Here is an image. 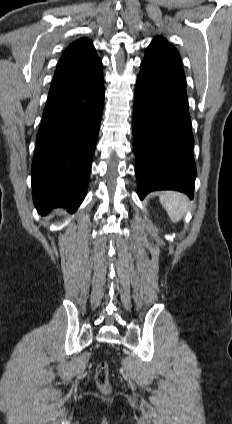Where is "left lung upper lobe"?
Listing matches in <instances>:
<instances>
[{"label":"left lung upper lobe","instance_id":"obj_1","mask_svg":"<svg viewBox=\"0 0 232 424\" xmlns=\"http://www.w3.org/2000/svg\"><path fill=\"white\" fill-rule=\"evenodd\" d=\"M142 62L149 64H181L180 54L165 38L155 37L148 46L144 60Z\"/></svg>","mask_w":232,"mask_h":424}]
</instances>
